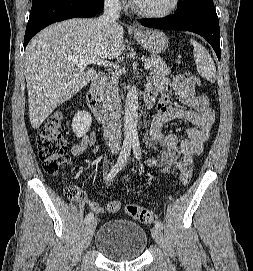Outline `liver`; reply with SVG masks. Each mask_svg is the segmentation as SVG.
Segmentation results:
<instances>
[{"instance_id":"1","label":"liver","mask_w":253,"mask_h":271,"mask_svg":"<svg viewBox=\"0 0 253 271\" xmlns=\"http://www.w3.org/2000/svg\"><path fill=\"white\" fill-rule=\"evenodd\" d=\"M123 27L103 31L96 19H69L39 32L25 52L29 118L33 129L94 77L93 61L118 58L125 49ZM88 62L78 68L77 62Z\"/></svg>"}]
</instances>
